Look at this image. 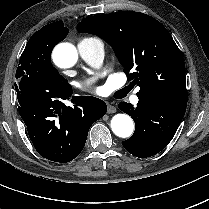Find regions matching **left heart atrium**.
Wrapping results in <instances>:
<instances>
[{
	"label": "left heart atrium",
	"mask_w": 209,
	"mask_h": 209,
	"mask_svg": "<svg viewBox=\"0 0 209 209\" xmlns=\"http://www.w3.org/2000/svg\"><path fill=\"white\" fill-rule=\"evenodd\" d=\"M94 92L99 93L100 90L99 89H94Z\"/></svg>",
	"instance_id": "left-heart-atrium-1"
}]
</instances>
